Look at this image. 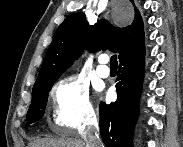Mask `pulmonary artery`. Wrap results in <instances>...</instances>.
Masks as SVG:
<instances>
[{
    "instance_id": "e3ab8cb5",
    "label": "pulmonary artery",
    "mask_w": 183,
    "mask_h": 147,
    "mask_svg": "<svg viewBox=\"0 0 183 147\" xmlns=\"http://www.w3.org/2000/svg\"><path fill=\"white\" fill-rule=\"evenodd\" d=\"M107 62H108V56L107 55H101L98 59V66H97V74L102 77V78H106L109 76L110 74V70L107 67Z\"/></svg>"
}]
</instances>
